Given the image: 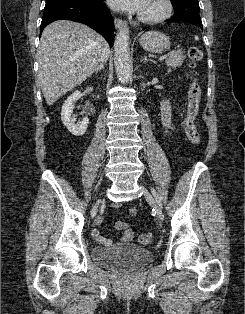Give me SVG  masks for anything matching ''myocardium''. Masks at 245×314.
I'll use <instances>...</instances> for the list:
<instances>
[{
	"label": "myocardium",
	"instance_id": "1",
	"mask_svg": "<svg viewBox=\"0 0 245 314\" xmlns=\"http://www.w3.org/2000/svg\"><path fill=\"white\" fill-rule=\"evenodd\" d=\"M162 9L158 14L152 16L139 15V20L143 23L154 24L169 18L173 12V5L171 0H158Z\"/></svg>",
	"mask_w": 245,
	"mask_h": 314
}]
</instances>
